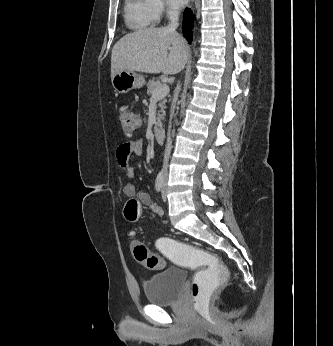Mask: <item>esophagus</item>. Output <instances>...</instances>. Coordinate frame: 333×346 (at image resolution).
Here are the masks:
<instances>
[{"instance_id":"1","label":"esophagus","mask_w":333,"mask_h":346,"mask_svg":"<svg viewBox=\"0 0 333 346\" xmlns=\"http://www.w3.org/2000/svg\"><path fill=\"white\" fill-rule=\"evenodd\" d=\"M193 1H194V0H191L190 6H189L190 8H191V7H192V5H193Z\"/></svg>"}]
</instances>
